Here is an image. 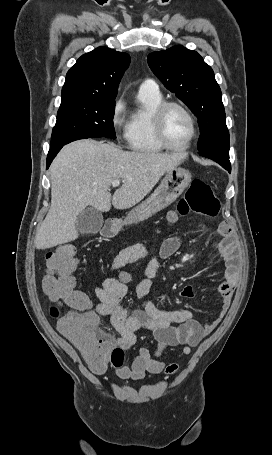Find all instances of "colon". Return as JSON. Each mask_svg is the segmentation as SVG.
<instances>
[{
    "mask_svg": "<svg viewBox=\"0 0 272 455\" xmlns=\"http://www.w3.org/2000/svg\"><path fill=\"white\" fill-rule=\"evenodd\" d=\"M220 204L211 187L202 179H193L185 196L177 206V212L170 213L168 220L174 222L178 216L195 213L215 217ZM76 247L60 245L46 256V275L42 286L44 292L56 305L50 314L58 319V328L82 352L93 371H103L109 365L115 368L123 365V351L109 336L96 331L97 318L89 310L90 300L75 287L73 273L77 269ZM124 280H130L128 272H122Z\"/></svg>",
    "mask_w": 272,
    "mask_h": 455,
    "instance_id": "colon-1",
    "label": "colon"
}]
</instances>
